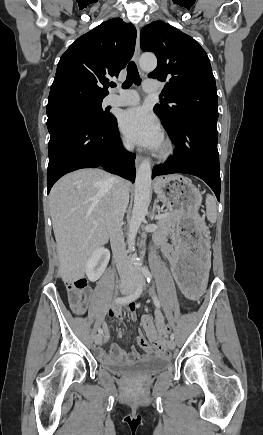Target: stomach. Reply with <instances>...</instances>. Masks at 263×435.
<instances>
[{
    "instance_id": "1",
    "label": "stomach",
    "mask_w": 263,
    "mask_h": 435,
    "mask_svg": "<svg viewBox=\"0 0 263 435\" xmlns=\"http://www.w3.org/2000/svg\"><path fill=\"white\" fill-rule=\"evenodd\" d=\"M157 197L173 209L178 224L171 225L174 246L181 260L173 270L172 280L180 288V299H203L204 288L210 287L207 262L210 261L211 239L206 216H201L202 196L192 181L181 175L159 177L154 184Z\"/></svg>"
}]
</instances>
